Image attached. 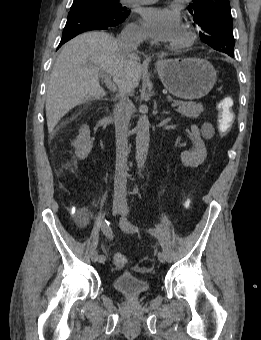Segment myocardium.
<instances>
[{"label": "myocardium", "instance_id": "obj_1", "mask_svg": "<svg viewBox=\"0 0 261 340\" xmlns=\"http://www.w3.org/2000/svg\"><path fill=\"white\" fill-rule=\"evenodd\" d=\"M193 43V37L187 31H182L180 37L173 41L172 48L183 49L189 47Z\"/></svg>", "mask_w": 261, "mask_h": 340}]
</instances>
